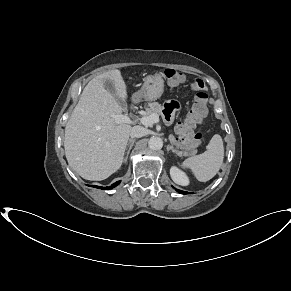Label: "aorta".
<instances>
[{"label": "aorta", "mask_w": 291, "mask_h": 291, "mask_svg": "<svg viewBox=\"0 0 291 291\" xmlns=\"http://www.w3.org/2000/svg\"><path fill=\"white\" fill-rule=\"evenodd\" d=\"M148 146L152 150H159L163 146V141L159 137H153L149 140Z\"/></svg>", "instance_id": "1"}]
</instances>
